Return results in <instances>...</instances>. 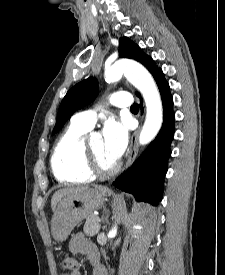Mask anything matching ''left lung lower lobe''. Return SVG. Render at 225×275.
<instances>
[{
    "label": "left lung lower lobe",
    "mask_w": 225,
    "mask_h": 275,
    "mask_svg": "<svg viewBox=\"0 0 225 275\" xmlns=\"http://www.w3.org/2000/svg\"><path fill=\"white\" fill-rule=\"evenodd\" d=\"M163 102V124L160 132L133 166L113 182L117 188L132 193L137 201L157 205L162 199L163 180L171 155L170 144L174 136L175 114L169 84L160 69L154 76ZM140 99V94L137 95ZM140 107L143 112L142 99Z\"/></svg>",
    "instance_id": "0a47b994"
}]
</instances>
